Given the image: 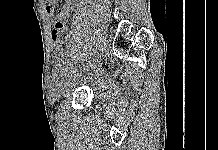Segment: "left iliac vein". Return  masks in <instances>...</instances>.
I'll list each match as a JSON object with an SVG mask.
<instances>
[{
    "mask_svg": "<svg viewBox=\"0 0 218 150\" xmlns=\"http://www.w3.org/2000/svg\"><path fill=\"white\" fill-rule=\"evenodd\" d=\"M76 77H77L76 73H73L72 76L67 77L68 81H65L64 89H62V91L60 92L61 96H64L65 94H67V90H68L70 84L73 83V78H76Z\"/></svg>",
    "mask_w": 218,
    "mask_h": 150,
    "instance_id": "1",
    "label": "left iliac vein"
}]
</instances>
